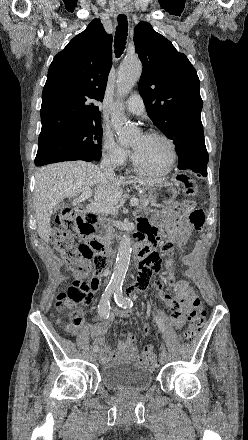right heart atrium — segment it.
I'll list each match as a JSON object with an SVG mask.
<instances>
[{
	"mask_svg": "<svg viewBox=\"0 0 248 440\" xmlns=\"http://www.w3.org/2000/svg\"><path fill=\"white\" fill-rule=\"evenodd\" d=\"M102 154L105 161L113 167L123 166L128 158V151L116 141L110 131L103 133Z\"/></svg>",
	"mask_w": 248,
	"mask_h": 440,
	"instance_id": "right-heart-atrium-1",
	"label": "right heart atrium"
}]
</instances>
